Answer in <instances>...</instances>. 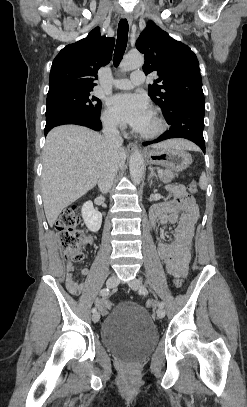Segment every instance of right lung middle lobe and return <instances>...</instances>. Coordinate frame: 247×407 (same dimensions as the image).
<instances>
[{
  "label": "right lung middle lobe",
  "instance_id": "right-lung-middle-lobe-1",
  "mask_svg": "<svg viewBox=\"0 0 247 407\" xmlns=\"http://www.w3.org/2000/svg\"><path fill=\"white\" fill-rule=\"evenodd\" d=\"M92 91L93 88H61L48 92L46 117L63 112L99 116L102 104Z\"/></svg>",
  "mask_w": 247,
  "mask_h": 407
}]
</instances>
